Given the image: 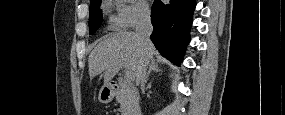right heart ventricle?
<instances>
[{"label":"right heart ventricle","instance_id":"e07e8e85","mask_svg":"<svg viewBox=\"0 0 285 115\" xmlns=\"http://www.w3.org/2000/svg\"><path fill=\"white\" fill-rule=\"evenodd\" d=\"M112 24L115 25V26H117V20H116V18H113V19H112Z\"/></svg>","mask_w":285,"mask_h":115}]
</instances>
